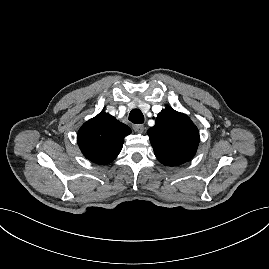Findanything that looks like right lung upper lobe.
<instances>
[{
    "label": "right lung upper lobe",
    "mask_w": 269,
    "mask_h": 269,
    "mask_svg": "<svg viewBox=\"0 0 269 269\" xmlns=\"http://www.w3.org/2000/svg\"><path fill=\"white\" fill-rule=\"evenodd\" d=\"M130 133L131 129L127 125L109 113L100 112L79 129L77 142L88 160L106 165L118 156L124 137Z\"/></svg>",
    "instance_id": "right-lung-upper-lobe-1"
}]
</instances>
